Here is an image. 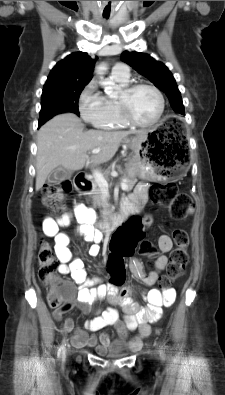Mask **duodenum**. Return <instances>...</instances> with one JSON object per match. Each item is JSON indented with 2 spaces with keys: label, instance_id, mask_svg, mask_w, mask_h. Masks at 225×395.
Returning <instances> with one entry per match:
<instances>
[{
  "label": "duodenum",
  "instance_id": "obj_1",
  "mask_svg": "<svg viewBox=\"0 0 225 395\" xmlns=\"http://www.w3.org/2000/svg\"><path fill=\"white\" fill-rule=\"evenodd\" d=\"M75 187L79 192H86L90 188V182L84 173H78L74 180ZM125 214L122 210V213H116L111 215L105 222L102 223V229L106 232H110L122 225L124 222Z\"/></svg>",
  "mask_w": 225,
  "mask_h": 395
}]
</instances>
